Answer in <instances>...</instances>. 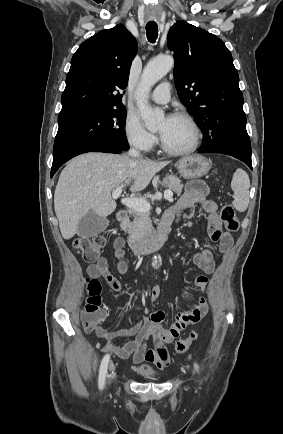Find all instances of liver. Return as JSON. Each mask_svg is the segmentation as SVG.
I'll return each instance as SVG.
<instances>
[{
    "mask_svg": "<svg viewBox=\"0 0 283 434\" xmlns=\"http://www.w3.org/2000/svg\"><path fill=\"white\" fill-rule=\"evenodd\" d=\"M168 163L107 153H85L72 159L62 170L54 194L62 237L72 238L90 211L100 217L114 212L111 192L115 188L128 185L130 191L140 192Z\"/></svg>",
    "mask_w": 283,
    "mask_h": 434,
    "instance_id": "obj_1",
    "label": "liver"
}]
</instances>
